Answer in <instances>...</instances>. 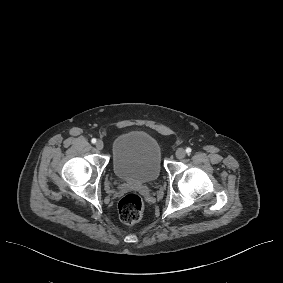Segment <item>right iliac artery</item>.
I'll return each mask as SVG.
<instances>
[{
	"label": "right iliac artery",
	"instance_id": "right-iliac-artery-1",
	"mask_svg": "<svg viewBox=\"0 0 283 283\" xmlns=\"http://www.w3.org/2000/svg\"><path fill=\"white\" fill-rule=\"evenodd\" d=\"M91 142H92L93 144L96 143V139L93 138V139L91 140Z\"/></svg>",
	"mask_w": 283,
	"mask_h": 283
}]
</instances>
